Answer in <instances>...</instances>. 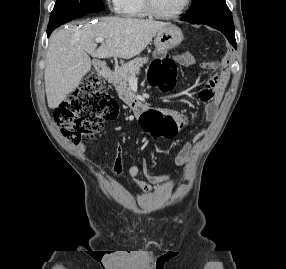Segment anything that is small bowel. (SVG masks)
<instances>
[{"label": "small bowel", "mask_w": 286, "mask_h": 269, "mask_svg": "<svg viewBox=\"0 0 286 269\" xmlns=\"http://www.w3.org/2000/svg\"><path fill=\"white\" fill-rule=\"evenodd\" d=\"M175 61L184 67H189L194 65L197 62L196 56L191 52H184L175 56ZM201 67L209 70L210 68H216L218 71L213 77L212 82L208 85L202 87L198 95L206 102V120L208 122H213L217 116L218 108L220 102L222 100L223 92L225 90L226 84L228 82L230 76L229 70V62L223 60L221 62H203L201 63ZM127 88H116V93H127ZM122 99H133V94H122ZM162 110V113H166L165 115L170 116L172 121H175V126L178 130L184 128L188 124V120L185 116L178 114L169 108H158ZM143 110L140 111H132V119L133 120H141V115H143ZM146 127V126H145ZM206 135V131H200L195 136V141L200 140ZM81 148H84L82 145ZM191 155V147L190 144H186L182 150L175 156L174 164L177 166H181L186 164L190 160ZM124 170V158H123V147L118 144L115 148V159L112 167V172L115 175H119ZM127 174L134 180L137 187L143 192H149V185L142 179L139 178L140 170L137 166H129L127 168ZM147 180L153 184L161 183L166 175L164 174H153L147 172L146 175Z\"/></svg>", "instance_id": "obj_1"}]
</instances>
